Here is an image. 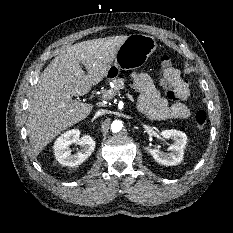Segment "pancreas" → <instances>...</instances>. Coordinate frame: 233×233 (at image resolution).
Listing matches in <instances>:
<instances>
[{
    "label": "pancreas",
    "mask_w": 233,
    "mask_h": 233,
    "mask_svg": "<svg viewBox=\"0 0 233 233\" xmlns=\"http://www.w3.org/2000/svg\"><path fill=\"white\" fill-rule=\"evenodd\" d=\"M113 87L107 90L106 92L110 91L111 94L114 96L117 92H119L120 89L124 88V79L123 78H117L112 80Z\"/></svg>",
    "instance_id": "1"
}]
</instances>
